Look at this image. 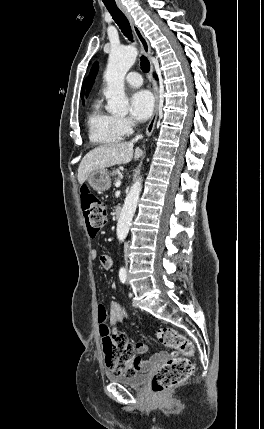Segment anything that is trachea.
Returning a JSON list of instances; mask_svg holds the SVG:
<instances>
[{"label": "trachea", "mask_w": 264, "mask_h": 429, "mask_svg": "<svg viewBox=\"0 0 264 429\" xmlns=\"http://www.w3.org/2000/svg\"><path fill=\"white\" fill-rule=\"evenodd\" d=\"M107 10L111 14L114 21L117 23L123 34L130 40L133 41L132 31L128 19L123 14V12L118 8L116 4H105ZM141 69L144 73H148L150 70V63L148 59L142 55L141 56Z\"/></svg>", "instance_id": "1"}]
</instances>
